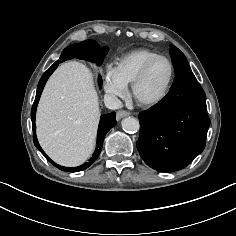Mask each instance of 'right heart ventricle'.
Instances as JSON below:
<instances>
[{"label": "right heart ventricle", "instance_id": "obj_1", "mask_svg": "<svg viewBox=\"0 0 236 236\" xmlns=\"http://www.w3.org/2000/svg\"><path fill=\"white\" fill-rule=\"evenodd\" d=\"M157 55H159L157 52L147 48L132 50L115 61L112 71L117 79L127 87L131 85L143 65Z\"/></svg>", "mask_w": 236, "mask_h": 236}]
</instances>
